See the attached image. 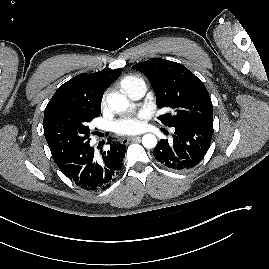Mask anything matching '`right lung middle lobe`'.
<instances>
[{
  "label": "right lung middle lobe",
  "instance_id": "right-lung-middle-lobe-1",
  "mask_svg": "<svg viewBox=\"0 0 269 269\" xmlns=\"http://www.w3.org/2000/svg\"><path fill=\"white\" fill-rule=\"evenodd\" d=\"M100 112L58 109L44 117V135L54 160L90 142L89 125Z\"/></svg>",
  "mask_w": 269,
  "mask_h": 269
}]
</instances>
